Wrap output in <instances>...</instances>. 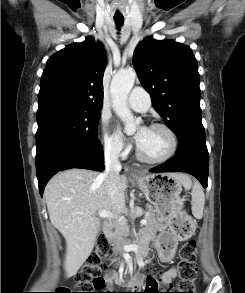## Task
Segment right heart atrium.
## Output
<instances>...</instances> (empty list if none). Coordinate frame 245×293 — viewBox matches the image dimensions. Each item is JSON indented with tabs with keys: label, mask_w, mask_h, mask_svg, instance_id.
Instances as JSON below:
<instances>
[{
	"label": "right heart atrium",
	"mask_w": 245,
	"mask_h": 293,
	"mask_svg": "<svg viewBox=\"0 0 245 293\" xmlns=\"http://www.w3.org/2000/svg\"><path fill=\"white\" fill-rule=\"evenodd\" d=\"M103 147L105 154L110 157H122L126 155L129 148L117 136L110 134L106 129V122H103Z\"/></svg>",
	"instance_id": "right-heart-atrium-1"
}]
</instances>
